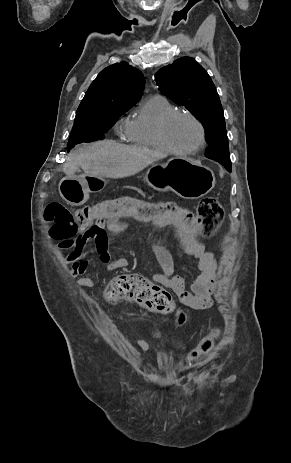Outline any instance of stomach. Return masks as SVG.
<instances>
[{"label":"stomach","instance_id":"stomach-1","mask_svg":"<svg viewBox=\"0 0 291 463\" xmlns=\"http://www.w3.org/2000/svg\"><path fill=\"white\" fill-rule=\"evenodd\" d=\"M150 177L157 187L169 188L185 199L203 197L215 186L213 171L187 157H171L162 168L154 166ZM101 184L97 177H66L58 189L67 203L77 206L88 200L91 191L101 189Z\"/></svg>","mask_w":291,"mask_h":463}]
</instances>
